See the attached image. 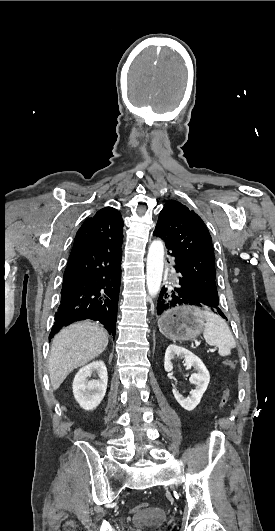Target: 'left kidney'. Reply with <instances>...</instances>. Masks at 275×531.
I'll use <instances>...</instances> for the list:
<instances>
[{"mask_svg": "<svg viewBox=\"0 0 275 531\" xmlns=\"http://www.w3.org/2000/svg\"><path fill=\"white\" fill-rule=\"evenodd\" d=\"M175 355H177V357H183L187 369L194 367L197 371V373H193L189 379L192 385H196L194 391L190 393L191 397H189V399H184L183 395H180L176 389H172V393L177 403H179L183 409H186V411H193V409L199 405L201 397L204 395L208 387L210 381L209 371L206 369L201 359L196 357V355H193L188 349L177 347V345H169L166 349L164 359V369L167 373H170L173 369L171 359H174Z\"/></svg>", "mask_w": 275, "mask_h": 531, "instance_id": "left-kidney-1", "label": "left kidney"}]
</instances>
